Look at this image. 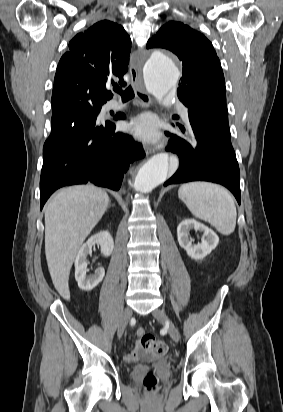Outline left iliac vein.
I'll return each instance as SVG.
<instances>
[{"label": "left iliac vein", "instance_id": "4c4485c4", "mask_svg": "<svg viewBox=\"0 0 283 412\" xmlns=\"http://www.w3.org/2000/svg\"><path fill=\"white\" fill-rule=\"evenodd\" d=\"M153 316L155 317V319H157L159 322L165 323L167 328H168V332L169 335L171 336V338L175 341L178 342L180 340V335L179 332L177 330V328L175 327V325L170 321V319L168 318V316L166 315L165 311L161 310V309H156L153 311Z\"/></svg>", "mask_w": 283, "mask_h": 412}]
</instances>
